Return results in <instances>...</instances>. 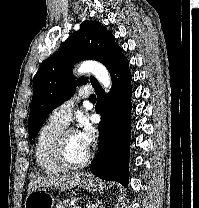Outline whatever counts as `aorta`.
I'll use <instances>...</instances> for the list:
<instances>
[{"label":"aorta","mask_w":199,"mask_h":208,"mask_svg":"<svg viewBox=\"0 0 199 208\" xmlns=\"http://www.w3.org/2000/svg\"><path fill=\"white\" fill-rule=\"evenodd\" d=\"M78 74L91 73L101 83L106 91L111 88V78L106 67L97 61H84L77 69Z\"/></svg>","instance_id":"1"}]
</instances>
